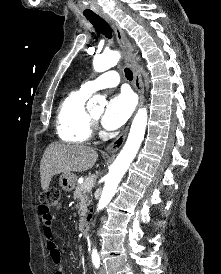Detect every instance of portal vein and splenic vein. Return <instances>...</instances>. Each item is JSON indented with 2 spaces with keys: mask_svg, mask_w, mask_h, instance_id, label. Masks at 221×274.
I'll return each mask as SVG.
<instances>
[{
  "mask_svg": "<svg viewBox=\"0 0 221 274\" xmlns=\"http://www.w3.org/2000/svg\"><path fill=\"white\" fill-rule=\"evenodd\" d=\"M92 186H93V180L91 178H87L84 188L85 189H91Z\"/></svg>",
  "mask_w": 221,
  "mask_h": 274,
  "instance_id": "obj_1",
  "label": "portal vein and splenic vein"
}]
</instances>
